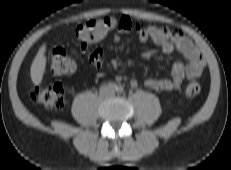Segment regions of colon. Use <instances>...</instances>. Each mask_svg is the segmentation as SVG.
Listing matches in <instances>:
<instances>
[{
  "instance_id": "obj_1",
  "label": "colon",
  "mask_w": 231,
  "mask_h": 170,
  "mask_svg": "<svg viewBox=\"0 0 231 170\" xmlns=\"http://www.w3.org/2000/svg\"><path fill=\"white\" fill-rule=\"evenodd\" d=\"M118 25L117 20L111 17L92 19L81 24L75 31V38L82 43H90L104 38ZM76 62L68 54L65 48L58 46L52 52L49 70L54 75H65L74 72ZM201 92L198 82H190L186 88L187 96H197ZM30 98L33 102L41 104L49 109L60 110L68 104L67 88L61 83H53L43 87H32Z\"/></svg>"
}]
</instances>
